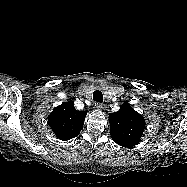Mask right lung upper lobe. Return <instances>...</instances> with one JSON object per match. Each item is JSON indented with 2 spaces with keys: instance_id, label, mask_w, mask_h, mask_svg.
Returning <instances> with one entry per match:
<instances>
[{
  "instance_id": "cb5924a9",
  "label": "right lung upper lobe",
  "mask_w": 187,
  "mask_h": 187,
  "mask_svg": "<svg viewBox=\"0 0 187 187\" xmlns=\"http://www.w3.org/2000/svg\"><path fill=\"white\" fill-rule=\"evenodd\" d=\"M87 112L77 111L72 101L62 103L54 108L48 116V124L57 138L70 140L83 128Z\"/></svg>"
}]
</instances>
